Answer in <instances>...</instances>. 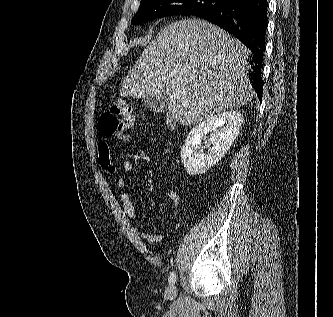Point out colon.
Returning a JSON list of instances; mask_svg holds the SVG:
<instances>
[{"label": "colon", "instance_id": "5ec220e1", "mask_svg": "<svg viewBox=\"0 0 333 317\" xmlns=\"http://www.w3.org/2000/svg\"><path fill=\"white\" fill-rule=\"evenodd\" d=\"M134 124L131 108L122 102L110 105L99 119V132L105 137L123 134Z\"/></svg>", "mask_w": 333, "mask_h": 317}]
</instances>
